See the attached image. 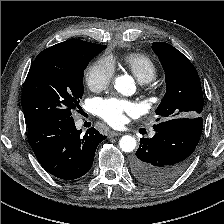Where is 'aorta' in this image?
Returning a JSON list of instances; mask_svg holds the SVG:
<instances>
[{"label":"aorta","mask_w":224,"mask_h":224,"mask_svg":"<svg viewBox=\"0 0 224 224\" xmlns=\"http://www.w3.org/2000/svg\"><path fill=\"white\" fill-rule=\"evenodd\" d=\"M115 89L123 95H131L135 91L133 79L128 75H122L115 80ZM119 145L122 151L132 152L136 147V140L134 137L125 135L120 141Z\"/></svg>","instance_id":"aorta-1"}]
</instances>
